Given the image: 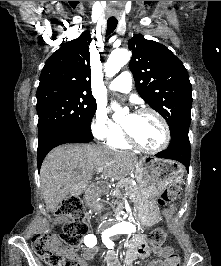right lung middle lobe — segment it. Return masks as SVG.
I'll use <instances>...</instances> for the list:
<instances>
[{
  "label": "right lung middle lobe",
  "mask_w": 221,
  "mask_h": 266,
  "mask_svg": "<svg viewBox=\"0 0 221 266\" xmlns=\"http://www.w3.org/2000/svg\"><path fill=\"white\" fill-rule=\"evenodd\" d=\"M38 143L63 130L91 134L95 98L83 92L48 88L37 90Z\"/></svg>",
  "instance_id": "obj_1"
}]
</instances>
